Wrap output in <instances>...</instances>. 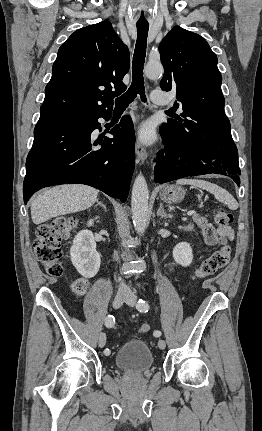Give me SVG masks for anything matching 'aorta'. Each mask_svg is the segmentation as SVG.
Instances as JSON below:
<instances>
[{
  "label": "aorta",
  "instance_id": "obj_1",
  "mask_svg": "<svg viewBox=\"0 0 262 431\" xmlns=\"http://www.w3.org/2000/svg\"><path fill=\"white\" fill-rule=\"evenodd\" d=\"M163 66L161 63L149 62L145 69V75L150 78H157L163 74ZM148 198L149 192L147 182L142 174H139L133 184L131 208L134 228L137 233L144 232L148 221Z\"/></svg>",
  "mask_w": 262,
  "mask_h": 431
}]
</instances>
